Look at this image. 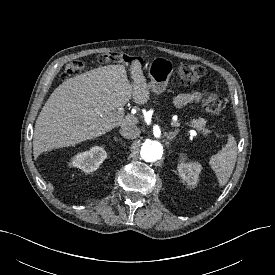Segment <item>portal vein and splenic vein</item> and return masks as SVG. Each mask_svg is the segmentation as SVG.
I'll use <instances>...</instances> for the list:
<instances>
[{
    "label": "portal vein and splenic vein",
    "mask_w": 275,
    "mask_h": 275,
    "mask_svg": "<svg viewBox=\"0 0 275 275\" xmlns=\"http://www.w3.org/2000/svg\"><path fill=\"white\" fill-rule=\"evenodd\" d=\"M124 117V114L122 111H118V113L116 114V118L117 119H122ZM174 126H180V123H174ZM190 134L194 135L195 131L194 130H190Z\"/></svg>",
    "instance_id": "obj_1"
}]
</instances>
